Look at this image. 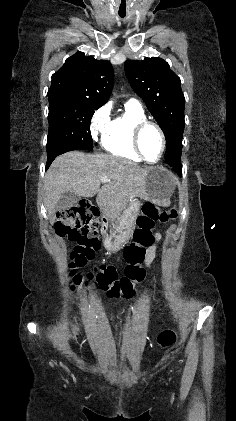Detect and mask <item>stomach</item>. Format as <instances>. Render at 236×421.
Listing matches in <instances>:
<instances>
[{
	"label": "stomach",
	"mask_w": 236,
	"mask_h": 421,
	"mask_svg": "<svg viewBox=\"0 0 236 421\" xmlns=\"http://www.w3.org/2000/svg\"><path fill=\"white\" fill-rule=\"evenodd\" d=\"M146 188L148 200H152L156 204L167 202L174 190L170 172L163 166H149L147 168ZM140 206V200L132 198L117 219L107 217L108 229L104 237V247L107 251H119L129 243L140 215Z\"/></svg>",
	"instance_id": "1"
}]
</instances>
